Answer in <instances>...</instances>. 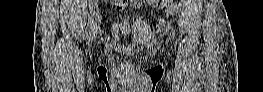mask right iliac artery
<instances>
[{"label": "right iliac artery", "mask_w": 263, "mask_h": 92, "mask_svg": "<svg viewBox=\"0 0 263 92\" xmlns=\"http://www.w3.org/2000/svg\"><path fill=\"white\" fill-rule=\"evenodd\" d=\"M100 19H101V13L94 11V18L90 25L89 33L87 34L88 44L90 42L92 32H94V30L97 28V20H100Z\"/></svg>", "instance_id": "obj_1"}]
</instances>
